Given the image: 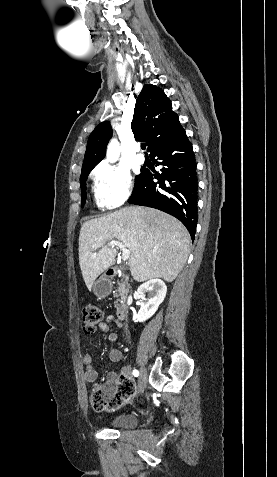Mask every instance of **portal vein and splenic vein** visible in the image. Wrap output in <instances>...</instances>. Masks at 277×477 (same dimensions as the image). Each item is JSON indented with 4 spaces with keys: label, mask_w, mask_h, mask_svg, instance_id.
<instances>
[{
    "label": "portal vein and splenic vein",
    "mask_w": 277,
    "mask_h": 477,
    "mask_svg": "<svg viewBox=\"0 0 277 477\" xmlns=\"http://www.w3.org/2000/svg\"><path fill=\"white\" fill-rule=\"evenodd\" d=\"M108 246H110L112 248L113 247L119 248L122 251V260L126 261V260L129 259L131 252H130V250L126 249L121 242H119L117 240H112V241L109 242Z\"/></svg>",
    "instance_id": "1"
}]
</instances>
